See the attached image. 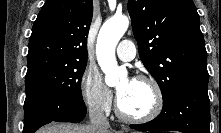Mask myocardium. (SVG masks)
I'll return each instance as SVG.
<instances>
[{
	"mask_svg": "<svg viewBox=\"0 0 221 133\" xmlns=\"http://www.w3.org/2000/svg\"><path fill=\"white\" fill-rule=\"evenodd\" d=\"M135 80L146 82L151 86L153 95H154V104L151 110L144 115H139V116L129 115L122 110L121 103L118 97L116 101L115 111H116L117 116L123 121L131 122V123H146L157 118L162 112V109L164 106L163 91L158 81L152 76L138 75L135 77Z\"/></svg>",
	"mask_w": 221,
	"mask_h": 133,
	"instance_id": "obj_1",
	"label": "myocardium"
}]
</instances>
